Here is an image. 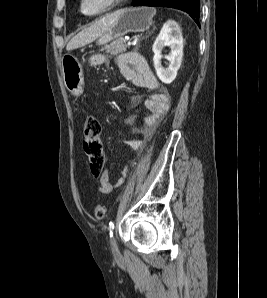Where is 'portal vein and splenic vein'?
Returning <instances> with one entry per match:
<instances>
[{"label":"portal vein and splenic vein","instance_id":"portal-vein-and-splenic-vein-1","mask_svg":"<svg viewBox=\"0 0 267 298\" xmlns=\"http://www.w3.org/2000/svg\"><path fill=\"white\" fill-rule=\"evenodd\" d=\"M131 45H132V42L129 41V42L127 43V46H131Z\"/></svg>","mask_w":267,"mask_h":298}]
</instances>
